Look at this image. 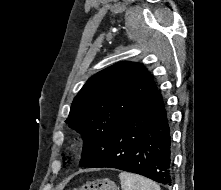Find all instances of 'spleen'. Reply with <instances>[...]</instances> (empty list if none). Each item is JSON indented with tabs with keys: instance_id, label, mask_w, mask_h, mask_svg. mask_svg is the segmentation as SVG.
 <instances>
[{
	"instance_id": "1",
	"label": "spleen",
	"mask_w": 221,
	"mask_h": 190,
	"mask_svg": "<svg viewBox=\"0 0 221 190\" xmlns=\"http://www.w3.org/2000/svg\"><path fill=\"white\" fill-rule=\"evenodd\" d=\"M119 179L122 190H161L157 183L133 173L121 172Z\"/></svg>"
}]
</instances>
